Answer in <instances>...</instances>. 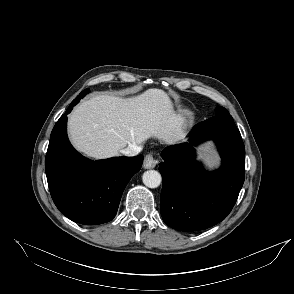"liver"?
<instances>
[{
  "instance_id": "liver-1",
  "label": "liver",
  "mask_w": 294,
  "mask_h": 294,
  "mask_svg": "<svg viewBox=\"0 0 294 294\" xmlns=\"http://www.w3.org/2000/svg\"><path fill=\"white\" fill-rule=\"evenodd\" d=\"M68 131L78 151L104 159L149 138L166 144L180 141L185 136V120L173 111L163 90L148 89L126 99L97 95L81 102L69 116Z\"/></svg>"
}]
</instances>
